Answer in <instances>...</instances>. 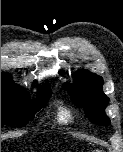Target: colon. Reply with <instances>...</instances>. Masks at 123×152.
Wrapping results in <instances>:
<instances>
[{
    "label": "colon",
    "mask_w": 123,
    "mask_h": 152,
    "mask_svg": "<svg viewBox=\"0 0 123 152\" xmlns=\"http://www.w3.org/2000/svg\"><path fill=\"white\" fill-rule=\"evenodd\" d=\"M92 152H106V151H104V150H102V149H95V150H93Z\"/></svg>",
    "instance_id": "1"
}]
</instances>
